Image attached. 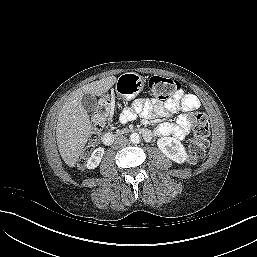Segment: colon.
<instances>
[{
	"label": "colon",
	"instance_id": "1",
	"mask_svg": "<svg viewBox=\"0 0 257 257\" xmlns=\"http://www.w3.org/2000/svg\"><path fill=\"white\" fill-rule=\"evenodd\" d=\"M179 83L175 79L153 76L149 79L148 87L153 96L166 99L176 92ZM114 100L109 95L101 97L96 105L91 119L93 134L92 142L96 141L97 133L103 129L111 115ZM187 118L193 127V138L189 144V162L195 163L205 155L209 145V122L205 114L197 111L188 113ZM84 163V158L80 166Z\"/></svg>",
	"mask_w": 257,
	"mask_h": 257
}]
</instances>
